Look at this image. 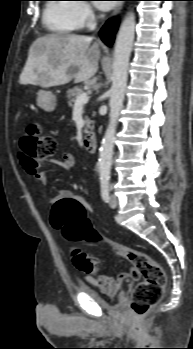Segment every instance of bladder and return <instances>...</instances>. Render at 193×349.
<instances>
[{"mask_svg": "<svg viewBox=\"0 0 193 349\" xmlns=\"http://www.w3.org/2000/svg\"><path fill=\"white\" fill-rule=\"evenodd\" d=\"M84 292L88 294L97 304L104 306L106 308L111 307V305L107 302V300L101 295V293L98 290L86 287L84 288ZM122 297H123V294L119 293L114 297V301H118Z\"/></svg>", "mask_w": 193, "mask_h": 349, "instance_id": "1", "label": "bladder"}]
</instances>
